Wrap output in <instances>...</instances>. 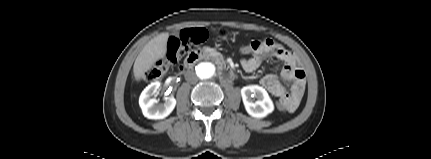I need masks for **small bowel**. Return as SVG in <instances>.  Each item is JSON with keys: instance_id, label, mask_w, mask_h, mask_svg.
I'll return each mask as SVG.
<instances>
[{"instance_id": "1", "label": "small bowel", "mask_w": 431, "mask_h": 159, "mask_svg": "<svg viewBox=\"0 0 431 159\" xmlns=\"http://www.w3.org/2000/svg\"><path fill=\"white\" fill-rule=\"evenodd\" d=\"M246 45L253 47L249 54H245L250 55V57L241 61V65L246 72H253L258 69L267 56H273L284 63L279 76L265 75L261 80V84L272 95L282 100L285 110L294 112L303 97L306 77L304 70L298 65L296 56L271 39L253 40ZM283 83L290 84L289 92L285 89Z\"/></svg>"}]
</instances>
